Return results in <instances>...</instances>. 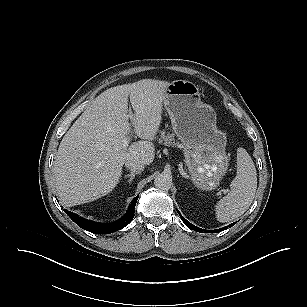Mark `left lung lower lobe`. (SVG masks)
I'll return each instance as SVG.
<instances>
[{
    "label": "left lung lower lobe",
    "instance_id": "obj_1",
    "mask_svg": "<svg viewBox=\"0 0 307 307\" xmlns=\"http://www.w3.org/2000/svg\"><path fill=\"white\" fill-rule=\"evenodd\" d=\"M178 214L180 215L182 221L184 222L185 225H187L188 228L194 230V231H197V232H200V233H216V232H221V231H224L230 227H232L236 222L228 225V226H225L221 229H216V230H203V229H200L198 227H196L195 225L191 224L189 221H187L182 215L181 213L177 210Z\"/></svg>",
    "mask_w": 307,
    "mask_h": 307
}]
</instances>
